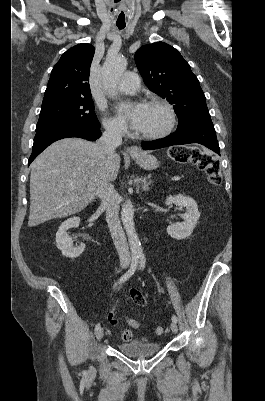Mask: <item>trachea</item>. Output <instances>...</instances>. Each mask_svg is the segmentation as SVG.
Segmentation results:
<instances>
[{"label": "trachea", "instance_id": "trachea-1", "mask_svg": "<svg viewBox=\"0 0 265 401\" xmlns=\"http://www.w3.org/2000/svg\"><path fill=\"white\" fill-rule=\"evenodd\" d=\"M116 26L119 28V30H123L125 28V23H116Z\"/></svg>", "mask_w": 265, "mask_h": 401}]
</instances>
